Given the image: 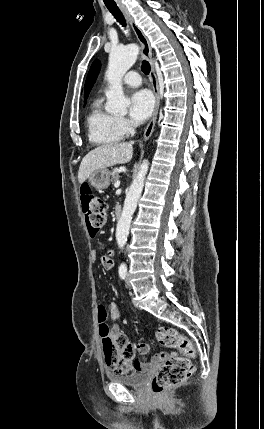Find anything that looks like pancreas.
Returning a JSON list of instances; mask_svg holds the SVG:
<instances>
[{
	"label": "pancreas",
	"instance_id": "pancreas-1",
	"mask_svg": "<svg viewBox=\"0 0 264 429\" xmlns=\"http://www.w3.org/2000/svg\"><path fill=\"white\" fill-rule=\"evenodd\" d=\"M112 179H113V181L114 182H116V181H118L119 180V172H118V170H113V172H112Z\"/></svg>",
	"mask_w": 264,
	"mask_h": 429
}]
</instances>
